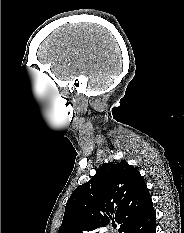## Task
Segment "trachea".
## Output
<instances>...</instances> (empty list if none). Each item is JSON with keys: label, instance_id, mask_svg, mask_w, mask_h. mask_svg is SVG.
I'll return each mask as SVG.
<instances>
[{"label": "trachea", "instance_id": "obj_1", "mask_svg": "<svg viewBox=\"0 0 184 233\" xmlns=\"http://www.w3.org/2000/svg\"><path fill=\"white\" fill-rule=\"evenodd\" d=\"M117 227V225L116 224H113V228L115 229Z\"/></svg>", "mask_w": 184, "mask_h": 233}]
</instances>
